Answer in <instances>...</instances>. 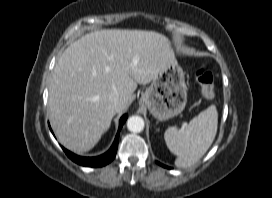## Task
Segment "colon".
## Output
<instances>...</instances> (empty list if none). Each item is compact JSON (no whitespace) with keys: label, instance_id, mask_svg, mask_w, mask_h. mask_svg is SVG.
Instances as JSON below:
<instances>
[{"label":"colon","instance_id":"1","mask_svg":"<svg viewBox=\"0 0 272 198\" xmlns=\"http://www.w3.org/2000/svg\"><path fill=\"white\" fill-rule=\"evenodd\" d=\"M196 81L201 87V93L204 99L211 100L215 96L213 74L204 68L194 70Z\"/></svg>","mask_w":272,"mask_h":198}]
</instances>
